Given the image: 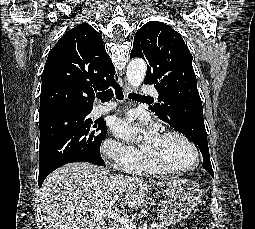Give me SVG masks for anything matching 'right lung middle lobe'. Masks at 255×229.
Wrapping results in <instances>:
<instances>
[{
	"label": "right lung middle lobe",
	"mask_w": 255,
	"mask_h": 229,
	"mask_svg": "<svg viewBox=\"0 0 255 229\" xmlns=\"http://www.w3.org/2000/svg\"><path fill=\"white\" fill-rule=\"evenodd\" d=\"M91 111H61L39 118V173H51L70 162H101L100 145L107 133L103 120Z\"/></svg>",
	"instance_id": "dd1d6c3e"
}]
</instances>
